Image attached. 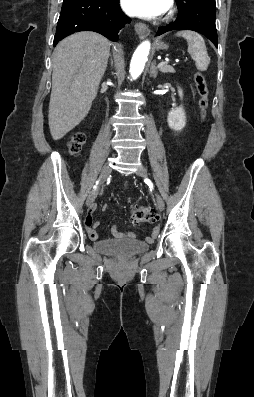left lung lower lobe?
Here are the masks:
<instances>
[{
    "mask_svg": "<svg viewBox=\"0 0 254 397\" xmlns=\"http://www.w3.org/2000/svg\"><path fill=\"white\" fill-rule=\"evenodd\" d=\"M179 9L175 22L159 27L157 36L171 30L188 29L202 33L216 47L217 31L215 25V0H175Z\"/></svg>",
    "mask_w": 254,
    "mask_h": 397,
    "instance_id": "left-lung-lower-lobe-1",
    "label": "left lung lower lobe"
}]
</instances>
